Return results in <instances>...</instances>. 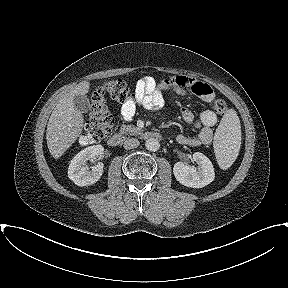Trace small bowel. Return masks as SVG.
<instances>
[{"mask_svg": "<svg viewBox=\"0 0 288 288\" xmlns=\"http://www.w3.org/2000/svg\"><path fill=\"white\" fill-rule=\"evenodd\" d=\"M167 90H172L179 95L192 93L208 103L215 98L214 91L208 84L186 76H177L163 81H156L153 77L147 76L137 81L134 101L122 105V119L132 120L138 108L157 110L163 107L165 104L164 92ZM181 114L186 122L200 128V131L197 136L178 135L176 140L179 144L198 146L208 145L212 142L213 127L218 121L217 113L214 110L203 111L199 121L195 120L193 113L187 107L181 108Z\"/></svg>", "mask_w": 288, "mask_h": 288, "instance_id": "c3829d8e", "label": "small bowel"}]
</instances>
